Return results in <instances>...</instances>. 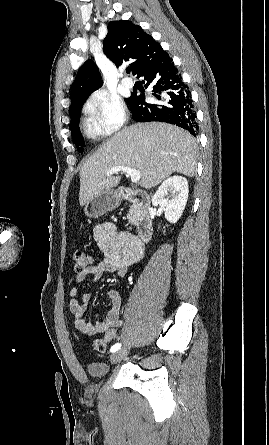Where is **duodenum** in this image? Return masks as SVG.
Instances as JSON below:
<instances>
[{
	"mask_svg": "<svg viewBox=\"0 0 269 445\" xmlns=\"http://www.w3.org/2000/svg\"><path fill=\"white\" fill-rule=\"evenodd\" d=\"M122 200L134 202L137 206V233L141 243L148 242L152 237V218L150 214L151 200L143 190L123 188L119 191Z\"/></svg>",
	"mask_w": 269,
	"mask_h": 445,
	"instance_id": "410a0bca",
	"label": "duodenum"
}]
</instances>
